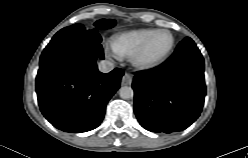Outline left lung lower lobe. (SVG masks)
I'll list each match as a JSON object with an SVG mask.
<instances>
[{
	"mask_svg": "<svg viewBox=\"0 0 248 158\" xmlns=\"http://www.w3.org/2000/svg\"><path fill=\"white\" fill-rule=\"evenodd\" d=\"M132 88L142 127L158 133L189 127L200 115L206 95L204 59L194 41L185 38L165 63L136 73Z\"/></svg>",
	"mask_w": 248,
	"mask_h": 158,
	"instance_id": "left-lung-lower-lobe-1",
	"label": "left lung lower lobe"
}]
</instances>
